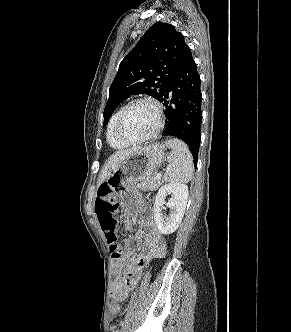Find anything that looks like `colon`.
I'll return each mask as SVG.
<instances>
[{
  "label": "colon",
  "mask_w": 291,
  "mask_h": 332,
  "mask_svg": "<svg viewBox=\"0 0 291 332\" xmlns=\"http://www.w3.org/2000/svg\"><path fill=\"white\" fill-rule=\"evenodd\" d=\"M96 211L100 226L105 234L107 243L113 258L119 257V250L117 248V221L115 214L117 205L114 201L112 191L110 188L102 189L96 200ZM110 311L113 315H118L121 312V307L117 304H112Z\"/></svg>",
  "instance_id": "1"
}]
</instances>
